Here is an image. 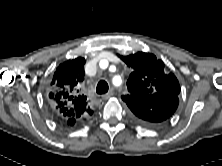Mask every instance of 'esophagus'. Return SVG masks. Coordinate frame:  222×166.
Instances as JSON below:
<instances>
[{
    "mask_svg": "<svg viewBox=\"0 0 222 166\" xmlns=\"http://www.w3.org/2000/svg\"><path fill=\"white\" fill-rule=\"evenodd\" d=\"M113 94H114V92H113V90H111V91H109L107 94H104V95L102 96V99L107 100V99H109L110 97H112Z\"/></svg>",
    "mask_w": 222,
    "mask_h": 166,
    "instance_id": "1",
    "label": "esophagus"
}]
</instances>
